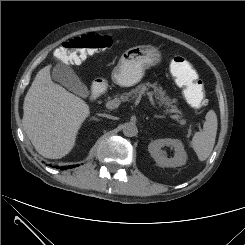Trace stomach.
Segmentation results:
<instances>
[{
    "mask_svg": "<svg viewBox=\"0 0 245 245\" xmlns=\"http://www.w3.org/2000/svg\"><path fill=\"white\" fill-rule=\"evenodd\" d=\"M160 51L151 45H139L126 50L114 67L111 78L114 83L129 87L138 83L145 70L161 62Z\"/></svg>",
    "mask_w": 245,
    "mask_h": 245,
    "instance_id": "obj_1",
    "label": "stomach"
}]
</instances>
